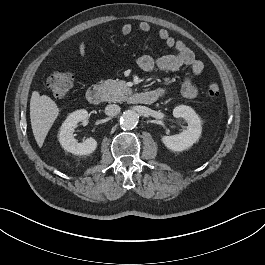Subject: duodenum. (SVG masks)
Masks as SVG:
<instances>
[{
    "instance_id": "duodenum-1",
    "label": "duodenum",
    "mask_w": 265,
    "mask_h": 265,
    "mask_svg": "<svg viewBox=\"0 0 265 265\" xmlns=\"http://www.w3.org/2000/svg\"><path fill=\"white\" fill-rule=\"evenodd\" d=\"M161 96L153 91H137L130 97V102L135 104L151 105L159 100ZM103 98V93L98 85H93L86 92V99L89 103L100 104Z\"/></svg>"
}]
</instances>
